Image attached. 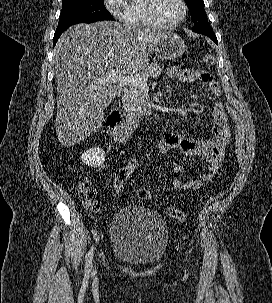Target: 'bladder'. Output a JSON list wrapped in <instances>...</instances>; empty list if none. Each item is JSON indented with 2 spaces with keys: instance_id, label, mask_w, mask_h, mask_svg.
<instances>
[{
  "instance_id": "obj_1",
  "label": "bladder",
  "mask_w": 272,
  "mask_h": 303,
  "mask_svg": "<svg viewBox=\"0 0 272 303\" xmlns=\"http://www.w3.org/2000/svg\"><path fill=\"white\" fill-rule=\"evenodd\" d=\"M113 255L128 264L146 267L162 260L168 247V229L154 209L129 205L119 209L110 224Z\"/></svg>"
}]
</instances>
